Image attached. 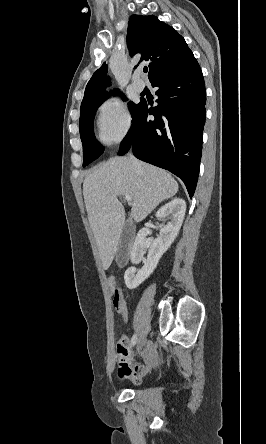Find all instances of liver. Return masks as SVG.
Masks as SVG:
<instances>
[{
    "instance_id": "obj_1",
    "label": "liver",
    "mask_w": 266,
    "mask_h": 444,
    "mask_svg": "<svg viewBox=\"0 0 266 444\" xmlns=\"http://www.w3.org/2000/svg\"><path fill=\"white\" fill-rule=\"evenodd\" d=\"M177 192L178 183L169 173L131 157L111 158L85 178L84 202L105 270L115 257L125 224L117 197H132L129 219L140 222Z\"/></svg>"
}]
</instances>
